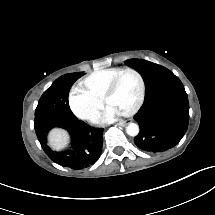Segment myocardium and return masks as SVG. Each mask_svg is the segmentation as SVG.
Listing matches in <instances>:
<instances>
[{
	"instance_id": "obj_1",
	"label": "myocardium",
	"mask_w": 215,
	"mask_h": 215,
	"mask_svg": "<svg viewBox=\"0 0 215 215\" xmlns=\"http://www.w3.org/2000/svg\"><path fill=\"white\" fill-rule=\"evenodd\" d=\"M124 74L131 75L135 79V93L133 101L130 106L125 108V115H130V113L134 112L135 109H139L144 90L142 77L136 70L132 68H122L120 73L115 74L114 82L109 86V90H106V95H111V91L115 90V87H117V84L121 82L122 75Z\"/></svg>"
}]
</instances>
